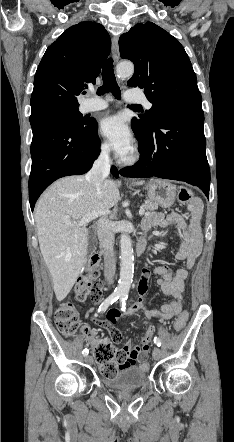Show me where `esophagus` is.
I'll use <instances>...</instances> for the list:
<instances>
[{
  "mask_svg": "<svg viewBox=\"0 0 234 442\" xmlns=\"http://www.w3.org/2000/svg\"><path fill=\"white\" fill-rule=\"evenodd\" d=\"M118 41H119V38L117 36L113 37V39H112V57L115 62H117L120 57Z\"/></svg>",
  "mask_w": 234,
  "mask_h": 442,
  "instance_id": "34e87169",
  "label": "esophagus"
}]
</instances>
